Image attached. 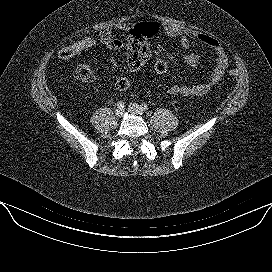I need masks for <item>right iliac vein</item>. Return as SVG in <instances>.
<instances>
[{"instance_id":"63e3f726","label":"right iliac vein","mask_w":272,"mask_h":272,"mask_svg":"<svg viewBox=\"0 0 272 272\" xmlns=\"http://www.w3.org/2000/svg\"><path fill=\"white\" fill-rule=\"evenodd\" d=\"M115 115H116V117L121 118L123 115V109H121V108L116 109Z\"/></svg>"}]
</instances>
